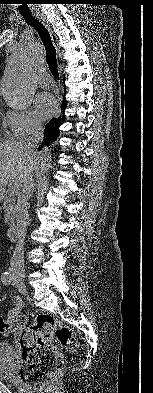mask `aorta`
Returning a JSON list of instances; mask_svg holds the SVG:
<instances>
[{
    "label": "aorta",
    "instance_id": "762f6f07",
    "mask_svg": "<svg viewBox=\"0 0 153 393\" xmlns=\"http://www.w3.org/2000/svg\"><path fill=\"white\" fill-rule=\"evenodd\" d=\"M41 56L40 44L35 39L28 38L20 42L8 57L1 92L10 108L24 110L31 104L36 90L34 75ZM37 159L41 175H47L52 165L51 150L42 148Z\"/></svg>",
    "mask_w": 153,
    "mask_h": 393
}]
</instances>
